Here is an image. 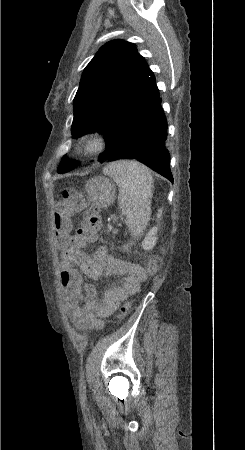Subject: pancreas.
Returning <instances> with one entry per match:
<instances>
[{"instance_id":"obj_1","label":"pancreas","mask_w":245,"mask_h":450,"mask_svg":"<svg viewBox=\"0 0 245 450\" xmlns=\"http://www.w3.org/2000/svg\"><path fill=\"white\" fill-rule=\"evenodd\" d=\"M112 218H113L114 221H116V217L115 216H112Z\"/></svg>"}]
</instances>
